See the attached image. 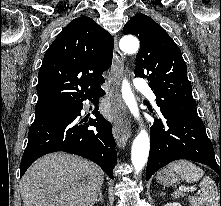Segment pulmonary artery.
<instances>
[{"label":"pulmonary artery","instance_id":"e3ab8cb5","mask_svg":"<svg viewBox=\"0 0 221 206\" xmlns=\"http://www.w3.org/2000/svg\"><path fill=\"white\" fill-rule=\"evenodd\" d=\"M133 83H134V87L137 90L145 93V95L151 100V102L153 104L156 103L155 102L156 101V96H155L154 92L150 89V87H149V85H148L146 80L137 77V78L134 79Z\"/></svg>","mask_w":221,"mask_h":206}]
</instances>
